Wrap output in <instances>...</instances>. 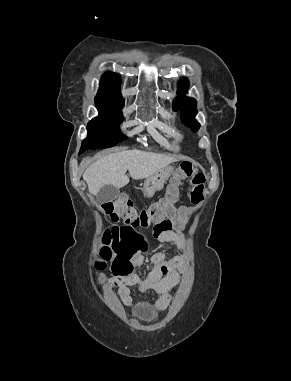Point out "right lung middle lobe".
I'll list each match as a JSON object with an SVG mask.
<instances>
[{
    "mask_svg": "<svg viewBox=\"0 0 291 381\" xmlns=\"http://www.w3.org/2000/svg\"><path fill=\"white\" fill-rule=\"evenodd\" d=\"M98 116L87 125L88 135L82 142L81 149H100L115 146L126 139L118 130V125L123 121L122 104H115L95 100Z\"/></svg>",
    "mask_w": 291,
    "mask_h": 381,
    "instance_id": "dd1d6c3e",
    "label": "right lung middle lobe"
}]
</instances>
